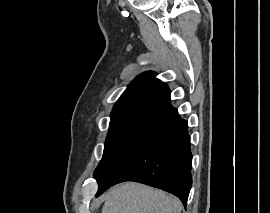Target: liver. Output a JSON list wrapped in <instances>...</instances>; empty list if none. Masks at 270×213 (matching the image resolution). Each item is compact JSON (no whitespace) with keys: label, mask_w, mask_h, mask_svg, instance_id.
<instances>
[{"label":"liver","mask_w":270,"mask_h":213,"mask_svg":"<svg viewBox=\"0 0 270 213\" xmlns=\"http://www.w3.org/2000/svg\"><path fill=\"white\" fill-rule=\"evenodd\" d=\"M180 201L160 190L124 183L105 196L102 213H180Z\"/></svg>","instance_id":"1"}]
</instances>
